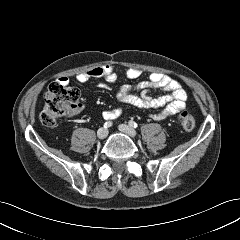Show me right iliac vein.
Returning a JSON list of instances; mask_svg holds the SVG:
<instances>
[{
    "label": "right iliac vein",
    "instance_id": "right-iliac-vein-1",
    "mask_svg": "<svg viewBox=\"0 0 240 240\" xmlns=\"http://www.w3.org/2000/svg\"><path fill=\"white\" fill-rule=\"evenodd\" d=\"M108 135V129L106 128H100L98 131H97V137L101 140L105 139Z\"/></svg>",
    "mask_w": 240,
    "mask_h": 240
}]
</instances>
